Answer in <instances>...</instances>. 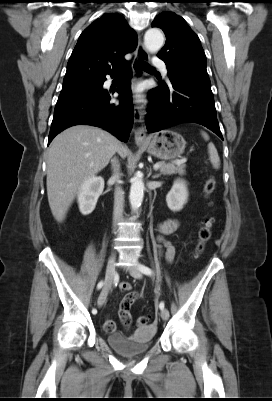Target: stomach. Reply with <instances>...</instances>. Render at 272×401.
Wrapping results in <instances>:
<instances>
[{
    "label": "stomach",
    "instance_id": "1",
    "mask_svg": "<svg viewBox=\"0 0 272 401\" xmlns=\"http://www.w3.org/2000/svg\"><path fill=\"white\" fill-rule=\"evenodd\" d=\"M186 141L182 135L172 130H162L153 134L145 144L148 153L162 160L179 157L185 150Z\"/></svg>",
    "mask_w": 272,
    "mask_h": 401
}]
</instances>
